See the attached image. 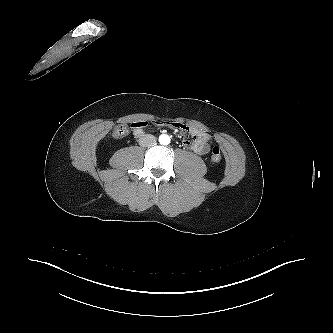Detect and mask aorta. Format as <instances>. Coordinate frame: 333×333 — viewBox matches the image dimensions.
<instances>
[{"label":"aorta","mask_w":333,"mask_h":333,"mask_svg":"<svg viewBox=\"0 0 333 333\" xmlns=\"http://www.w3.org/2000/svg\"><path fill=\"white\" fill-rule=\"evenodd\" d=\"M159 142L161 144L168 145L170 143V137L168 135L163 134L159 137Z\"/></svg>","instance_id":"1"}]
</instances>
